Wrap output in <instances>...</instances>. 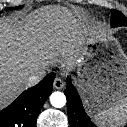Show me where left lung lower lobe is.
I'll return each instance as SVG.
<instances>
[{
	"instance_id": "1",
	"label": "left lung lower lobe",
	"mask_w": 127,
	"mask_h": 127,
	"mask_svg": "<svg viewBox=\"0 0 127 127\" xmlns=\"http://www.w3.org/2000/svg\"><path fill=\"white\" fill-rule=\"evenodd\" d=\"M65 95L67 98V110L71 127H96L85 113L77 90L72 85L71 79L67 78ZM127 127V126H126Z\"/></svg>"
}]
</instances>
